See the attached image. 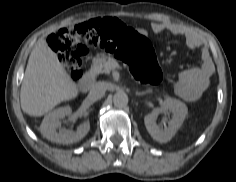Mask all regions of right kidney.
<instances>
[{"label": "right kidney", "instance_id": "ca27d5eb", "mask_svg": "<svg viewBox=\"0 0 236 182\" xmlns=\"http://www.w3.org/2000/svg\"><path fill=\"white\" fill-rule=\"evenodd\" d=\"M71 113L72 109L69 106L60 107L48 113L40 126L41 134L48 140L60 144H73L83 139L90 130L89 122L80 124L75 132L66 129L58 130L61 126L59 119Z\"/></svg>", "mask_w": 236, "mask_h": 182}]
</instances>
